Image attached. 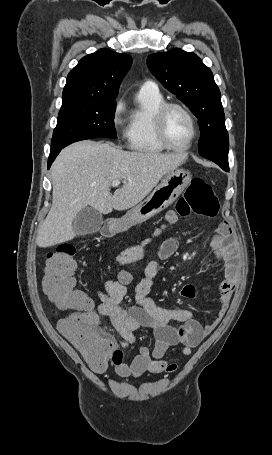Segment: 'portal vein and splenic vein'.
I'll return each instance as SVG.
<instances>
[{"instance_id": "1", "label": "portal vein and splenic vein", "mask_w": 272, "mask_h": 455, "mask_svg": "<svg viewBox=\"0 0 272 455\" xmlns=\"http://www.w3.org/2000/svg\"><path fill=\"white\" fill-rule=\"evenodd\" d=\"M119 184H120V181H119V180H114V181H112V183H111V185H112L113 187H117V186H119Z\"/></svg>"}]
</instances>
